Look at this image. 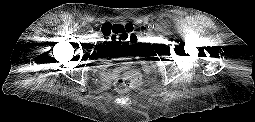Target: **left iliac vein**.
<instances>
[{"label": "left iliac vein", "instance_id": "1", "mask_svg": "<svg viewBox=\"0 0 255 122\" xmlns=\"http://www.w3.org/2000/svg\"><path fill=\"white\" fill-rule=\"evenodd\" d=\"M152 33H153V32H152V30L148 29V31H147V35H149V36H150V35H152Z\"/></svg>", "mask_w": 255, "mask_h": 122}]
</instances>
